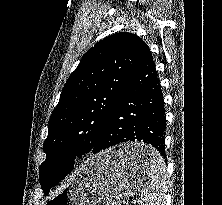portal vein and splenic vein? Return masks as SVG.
<instances>
[{"instance_id": "18ae733b", "label": "portal vein and splenic vein", "mask_w": 222, "mask_h": 205, "mask_svg": "<svg viewBox=\"0 0 222 205\" xmlns=\"http://www.w3.org/2000/svg\"><path fill=\"white\" fill-rule=\"evenodd\" d=\"M134 202H135V203H139V200H138V199H137V200H134Z\"/></svg>"}]
</instances>
